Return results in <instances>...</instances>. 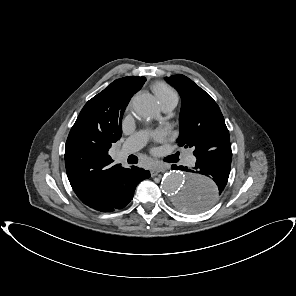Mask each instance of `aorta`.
<instances>
[{"mask_svg":"<svg viewBox=\"0 0 296 296\" xmlns=\"http://www.w3.org/2000/svg\"><path fill=\"white\" fill-rule=\"evenodd\" d=\"M131 108L137 116L148 118L155 104L149 94L139 93L132 98ZM161 187L169 202L186 213L207 212L219 198L216 182L204 174L169 171L163 176Z\"/></svg>","mask_w":296,"mask_h":296,"instance_id":"aorta-1","label":"aorta"}]
</instances>
